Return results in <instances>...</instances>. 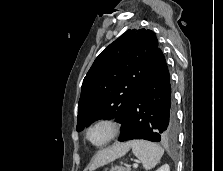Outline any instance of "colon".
<instances>
[{
  "label": "colon",
  "mask_w": 223,
  "mask_h": 171,
  "mask_svg": "<svg viewBox=\"0 0 223 171\" xmlns=\"http://www.w3.org/2000/svg\"><path fill=\"white\" fill-rule=\"evenodd\" d=\"M111 171H130V170L123 166H117V167H114Z\"/></svg>",
  "instance_id": "5ec220e1"
}]
</instances>
